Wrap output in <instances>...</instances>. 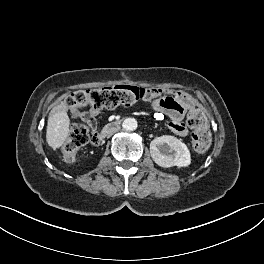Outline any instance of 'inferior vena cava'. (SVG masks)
Segmentation results:
<instances>
[{
    "label": "inferior vena cava",
    "instance_id": "1",
    "mask_svg": "<svg viewBox=\"0 0 264 264\" xmlns=\"http://www.w3.org/2000/svg\"><path fill=\"white\" fill-rule=\"evenodd\" d=\"M121 131H122V128L121 127H118L115 131L114 130H111L110 131V134L107 135V138L108 139H111L112 138V135H114L115 133L117 134V133H119Z\"/></svg>",
    "mask_w": 264,
    "mask_h": 264
}]
</instances>
